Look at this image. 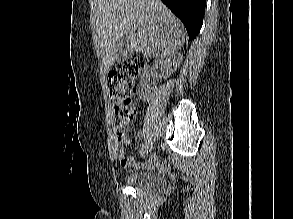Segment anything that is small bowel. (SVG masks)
<instances>
[{
	"mask_svg": "<svg viewBox=\"0 0 293 219\" xmlns=\"http://www.w3.org/2000/svg\"><path fill=\"white\" fill-rule=\"evenodd\" d=\"M117 142H118V159L120 164L124 167L132 166L135 164L134 158L131 155H127L125 147L129 143L128 136L124 131L117 132Z\"/></svg>",
	"mask_w": 293,
	"mask_h": 219,
	"instance_id": "obj_1",
	"label": "small bowel"
}]
</instances>
